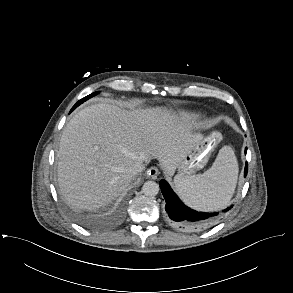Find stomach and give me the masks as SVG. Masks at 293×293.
Masks as SVG:
<instances>
[{
  "instance_id": "0dacf381",
  "label": "stomach",
  "mask_w": 293,
  "mask_h": 293,
  "mask_svg": "<svg viewBox=\"0 0 293 293\" xmlns=\"http://www.w3.org/2000/svg\"><path fill=\"white\" fill-rule=\"evenodd\" d=\"M221 136L218 132H212L210 135L202 138L191 151L180 161L177 166L176 180L188 178L201 169L209 160V157L217 146Z\"/></svg>"
}]
</instances>
